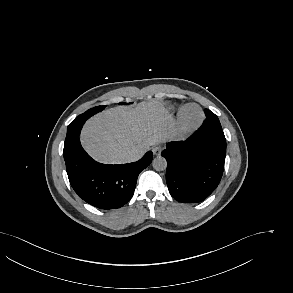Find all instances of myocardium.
<instances>
[{"label":"myocardium","instance_id":"obj_1","mask_svg":"<svg viewBox=\"0 0 293 293\" xmlns=\"http://www.w3.org/2000/svg\"><path fill=\"white\" fill-rule=\"evenodd\" d=\"M189 108H196L199 110L200 118L198 121H196L194 123H190L186 120L185 114ZM204 118H205L204 112L198 105L187 104V105L182 106L179 109L178 115H177V126H178L179 133L182 135H187V134L193 133L202 125Z\"/></svg>","mask_w":293,"mask_h":293}]
</instances>
